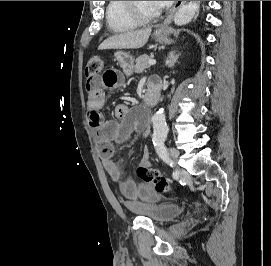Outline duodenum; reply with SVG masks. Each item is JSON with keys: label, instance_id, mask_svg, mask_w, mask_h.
<instances>
[{"label": "duodenum", "instance_id": "410a0bca", "mask_svg": "<svg viewBox=\"0 0 271 266\" xmlns=\"http://www.w3.org/2000/svg\"><path fill=\"white\" fill-rule=\"evenodd\" d=\"M159 90L155 83H150L148 90L144 95V103L147 106H154L159 100Z\"/></svg>", "mask_w": 271, "mask_h": 266}]
</instances>
